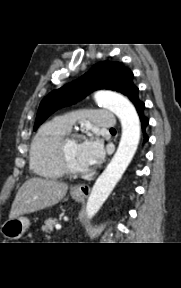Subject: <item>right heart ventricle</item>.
Segmentation results:
<instances>
[{"instance_id":"obj_1","label":"right heart ventricle","mask_w":181,"mask_h":288,"mask_svg":"<svg viewBox=\"0 0 181 288\" xmlns=\"http://www.w3.org/2000/svg\"><path fill=\"white\" fill-rule=\"evenodd\" d=\"M67 132L58 121L47 122L39 128L29 155L30 168L36 175L52 180L64 175L57 159V145Z\"/></svg>"}]
</instances>
